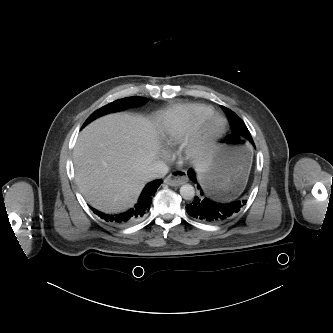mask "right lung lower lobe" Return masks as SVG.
<instances>
[{"label":"right lung lower lobe","instance_id":"98d812e1","mask_svg":"<svg viewBox=\"0 0 333 333\" xmlns=\"http://www.w3.org/2000/svg\"><path fill=\"white\" fill-rule=\"evenodd\" d=\"M162 182L163 181L160 179L148 183L143 189L138 203L133 208L124 213L106 214L96 209H91L100 218L114 225H128L134 223L148 213L152 203V197Z\"/></svg>","mask_w":333,"mask_h":333}]
</instances>
